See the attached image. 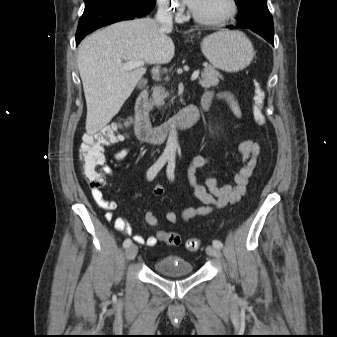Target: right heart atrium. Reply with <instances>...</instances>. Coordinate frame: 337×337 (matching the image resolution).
Instances as JSON below:
<instances>
[{
  "mask_svg": "<svg viewBox=\"0 0 337 337\" xmlns=\"http://www.w3.org/2000/svg\"><path fill=\"white\" fill-rule=\"evenodd\" d=\"M159 8L166 14L180 19L183 13V6L179 0H157Z\"/></svg>",
  "mask_w": 337,
  "mask_h": 337,
  "instance_id": "right-heart-atrium-1",
  "label": "right heart atrium"
}]
</instances>
